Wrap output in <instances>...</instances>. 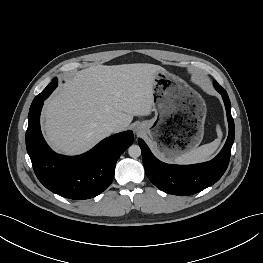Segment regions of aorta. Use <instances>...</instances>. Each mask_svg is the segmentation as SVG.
<instances>
[{"mask_svg": "<svg viewBox=\"0 0 263 263\" xmlns=\"http://www.w3.org/2000/svg\"><path fill=\"white\" fill-rule=\"evenodd\" d=\"M128 154L132 158H137L141 155V149L138 145H131L128 148Z\"/></svg>", "mask_w": 263, "mask_h": 263, "instance_id": "1", "label": "aorta"}]
</instances>
